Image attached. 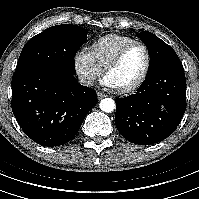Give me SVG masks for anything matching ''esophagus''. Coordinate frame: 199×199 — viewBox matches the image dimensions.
I'll use <instances>...</instances> for the list:
<instances>
[{"label":"esophagus","instance_id":"esophagus-1","mask_svg":"<svg viewBox=\"0 0 199 199\" xmlns=\"http://www.w3.org/2000/svg\"><path fill=\"white\" fill-rule=\"evenodd\" d=\"M104 97H106L105 94H103V93H101V92H97V98H98L99 100L103 99Z\"/></svg>","mask_w":199,"mask_h":199}]
</instances>
